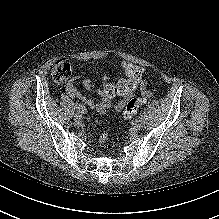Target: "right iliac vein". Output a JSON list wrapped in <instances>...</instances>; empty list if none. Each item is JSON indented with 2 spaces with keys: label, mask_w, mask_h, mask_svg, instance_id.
<instances>
[{
  "label": "right iliac vein",
  "mask_w": 219,
  "mask_h": 219,
  "mask_svg": "<svg viewBox=\"0 0 219 219\" xmlns=\"http://www.w3.org/2000/svg\"><path fill=\"white\" fill-rule=\"evenodd\" d=\"M75 120L80 121L82 119V112L78 111L75 113Z\"/></svg>",
  "instance_id": "63e3f726"
}]
</instances>
